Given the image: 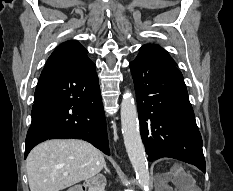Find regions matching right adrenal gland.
Here are the masks:
<instances>
[{"label": "right adrenal gland", "mask_w": 233, "mask_h": 191, "mask_svg": "<svg viewBox=\"0 0 233 191\" xmlns=\"http://www.w3.org/2000/svg\"><path fill=\"white\" fill-rule=\"evenodd\" d=\"M104 169H105V173L110 174V170L108 169L106 163H104ZM100 176H102V175L100 174ZM105 182H106V179H105Z\"/></svg>", "instance_id": "obj_1"}]
</instances>
